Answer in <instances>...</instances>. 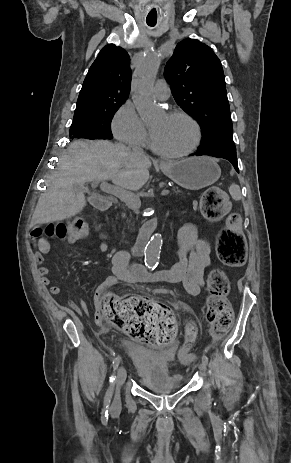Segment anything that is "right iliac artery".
I'll return each instance as SVG.
<instances>
[{
	"label": "right iliac artery",
	"mask_w": 291,
	"mask_h": 463,
	"mask_svg": "<svg viewBox=\"0 0 291 463\" xmlns=\"http://www.w3.org/2000/svg\"><path fill=\"white\" fill-rule=\"evenodd\" d=\"M119 363H120V358L119 357H116L114 358L113 362H112V365H113V369L114 371L118 368L119 366ZM110 387L106 393V397H105V400H104V409L102 411V417H101V421L103 424H106L107 423V417H108V408H109V405H110V402H111V398H112V390H113V386L116 382V376L115 374H113L111 377H110Z\"/></svg>",
	"instance_id": "obj_1"
}]
</instances>
